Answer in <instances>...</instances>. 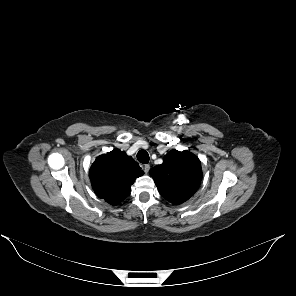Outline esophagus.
<instances>
[{
	"mask_svg": "<svg viewBox=\"0 0 296 296\" xmlns=\"http://www.w3.org/2000/svg\"><path fill=\"white\" fill-rule=\"evenodd\" d=\"M149 170H150V165L149 164L144 165V171H145V173H148Z\"/></svg>",
	"mask_w": 296,
	"mask_h": 296,
	"instance_id": "1",
	"label": "esophagus"
}]
</instances>
